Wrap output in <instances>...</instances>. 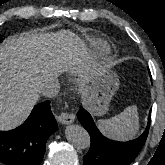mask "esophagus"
Here are the masks:
<instances>
[{"instance_id":"obj_1","label":"esophagus","mask_w":165,"mask_h":165,"mask_svg":"<svg viewBox=\"0 0 165 165\" xmlns=\"http://www.w3.org/2000/svg\"><path fill=\"white\" fill-rule=\"evenodd\" d=\"M58 120L62 124H70V123L74 122L75 115L72 113L63 112L59 115Z\"/></svg>"}]
</instances>
